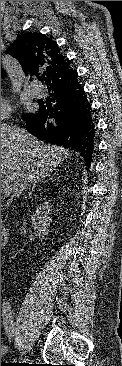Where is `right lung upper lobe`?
I'll use <instances>...</instances> for the list:
<instances>
[{"mask_svg":"<svg viewBox=\"0 0 122 366\" xmlns=\"http://www.w3.org/2000/svg\"><path fill=\"white\" fill-rule=\"evenodd\" d=\"M7 53L20 62L26 75L46 76L49 87L66 83L77 73L69 59L60 53L57 43L41 33L18 37Z\"/></svg>","mask_w":122,"mask_h":366,"instance_id":"right-lung-upper-lobe-1","label":"right lung upper lobe"}]
</instances>
